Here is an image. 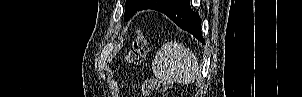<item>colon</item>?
I'll return each mask as SVG.
<instances>
[{
  "instance_id": "1",
  "label": "colon",
  "mask_w": 302,
  "mask_h": 97,
  "mask_svg": "<svg viewBox=\"0 0 302 97\" xmlns=\"http://www.w3.org/2000/svg\"><path fill=\"white\" fill-rule=\"evenodd\" d=\"M149 49L148 42L142 34H138L133 41L131 49L127 52L125 60L131 64L141 63ZM169 88V84L157 78L146 79L143 84L144 95H149L153 91L163 92Z\"/></svg>"
}]
</instances>
